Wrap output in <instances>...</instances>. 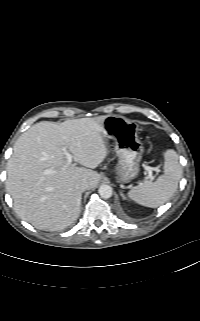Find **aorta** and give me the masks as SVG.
I'll list each match as a JSON object with an SVG mask.
<instances>
[{
    "instance_id": "1",
    "label": "aorta",
    "mask_w": 200,
    "mask_h": 321,
    "mask_svg": "<svg viewBox=\"0 0 200 321\" xmlns=\"http://www.w3.org/2000/svg\"><path fill=\"white\" fill-rule=\"evenodd\" d=\"M98 192L99 195L104 199L110 198L113 194L112 187L106 184L101 185L98 189Z\"/></svg>"
}]
</instances>
